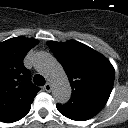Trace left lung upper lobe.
<instances>
[{"label": "left lung upper lobe", "instance_id": "left-lung-upper-lobe-1", "mask_svg": "<svg viewBox=\"0 0 128 128\" xmlns=\"http://www.w3.org/2000/svg\"><path fill=\"white\" fill-rule=\"evenodd\" d=\"M63 66L72 87L70 102L104 106L110 96L115 71L100 53L80 42L47 43Z\"/></svg>", "mask_w": 128, "mask_h": 128}]
</instances>
